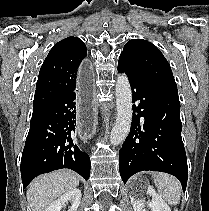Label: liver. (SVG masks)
<instances>
[{"instance_id":"6515ba94","label":"liver","mask_w":209,"mask_h":211,"mask_svg":"<svg viewBox=\"0 0 209 211\" xmlns=\"http://www.w3.org/2000/svg\"><path fill=\"white\" fill-rule=\"evenodd\" d=\"M79 185L78 176L71 170H58L32 181L27 200L32 211H45L59 196Z\"/></svg>"}]
</instances>
